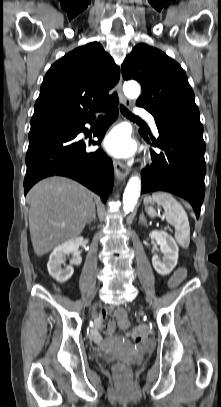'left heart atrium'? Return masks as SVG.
I'll list each match as a JSON object with an SVG mask.
<instances>
[{"label":"left heart atrium","instance_id":"39dd6f15","mask_svg":"<svg viewBox=\"0 0 221 407\" xmlns=\"http://www.w3.org/2000/svg\"><path fill=\"white\" fill-rule=\"evenodd\" d=\"M103 147L108 153L119 158L131 156L136 148L128 130L124 127H117L111 131L104 139Z\"/></svg>","mask_w":221,"mask_h":407}]
</instances>
